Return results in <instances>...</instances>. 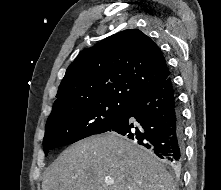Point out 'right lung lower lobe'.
<instances>
[{"mask_svg": "<svg viewBox=\"0 0 221 190\" xmlns=\"http://www.w3.org/2000/svg\"><path fill=\"white\" fill-rule=\"evenodd\" d=\"M136 141L177 168L184 156L179 101L170 77L126 104L121 120L110 130Z\"/></svg>", "mask_w": 221, "mask_h": 190, "instance_id": "1", "label": "right lung lower lobe"}]
</instances>
